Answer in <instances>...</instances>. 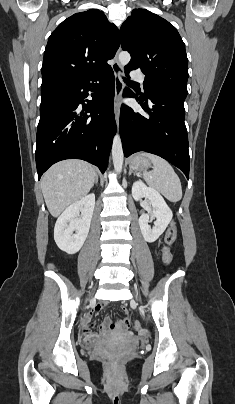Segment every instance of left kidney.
Wrapping results in <instances>:
<instances>
[{"instance_id": "left-kidney-1", "label": "left kidney", "mask_w": 235, "mask_h": 404, "mask_svg": "<svg viewBox=\"0 0 235 404\" xmlns=\"http://www.w3.org/2000/svg\"><path fill=\"white\" fill-rule=\"evenodd\" d=\"M132 196L136 201L141 198L150 201L153 213L151 215L142 214L139 218V226L144 240L149 243L155 242L172 220L173 213L158 191L140 181L133 183ZM150 218H156L152 229L148 225Z\"/></svg>"}]
</instances>
